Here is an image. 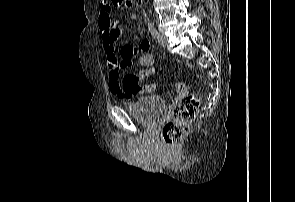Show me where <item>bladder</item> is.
Returning a JSON list of instances; mask_svg holds the SVG:
<instances>
[{
	"mask_svg": "<svg viewBox=\"0 0 295 202\" xmlns=\"http://www.w3.org/2000/svg\"><path fill=\"white\" fill-rule=\"evenodd\" d=\"M132 116L141 124L154 126L165 117L167 103L157 95H148L138 99L130 108Z\"/></svg>",
	"mask_w": 295,
	"mask_h": 202,
	"instance_id": "bladder-1",
	"label": "bladder"
}]
</instances>
